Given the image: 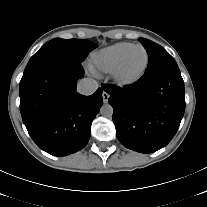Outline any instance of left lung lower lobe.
I'll return each mask as SVG.
<instances>
[{"mask_svg":"<svg viewBox=\"0 0 207 207\" xmlns=\"http://www.w3.org/2000/svg\"><path fill=\"white\" fill-rule=\"evenodd\" d=\"M102 88L110 95L116 136L122 145L152 153L174 137L185 111L184 81L176 62L145 72L132 85Z\"/></svg>","mask_w":207,"mask_h":207,"instance_id":"left-lung-lower-lobe-1","label":"left lung lower lobe"}]
</instances>
